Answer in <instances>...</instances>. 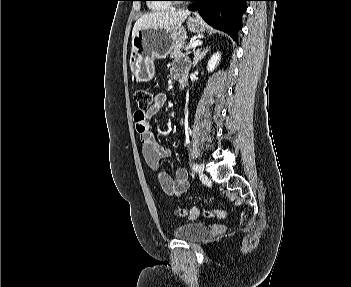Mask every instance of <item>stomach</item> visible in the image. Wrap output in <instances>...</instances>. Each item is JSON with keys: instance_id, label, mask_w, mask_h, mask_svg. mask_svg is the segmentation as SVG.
I'll return each mask as SVG.
<instances>
[{"instance_id": "stomach-1", "label": "stomach", "mask_w": 351, "mask_h": 287, "mask_svg": "<svg viewBox=\"0 0 351 287\" xmlns=\"http://www.w3.org/2000/svg\"><path fill=\"white\" fill-rule=\"evenodd\" d=\"M187 28L200 33L204 26L200 19L189 18ZM186 30L183 26L166 28L140 29L132 38V51L129 60L131 72L140 82L150 81L155 73L154 60L166 58L174 44L184 39Z\"/></svg>"}]
</instances>
